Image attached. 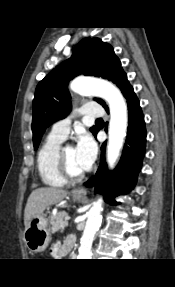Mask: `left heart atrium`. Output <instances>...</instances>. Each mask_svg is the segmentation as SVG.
<instances>
[{
	"mask_svg": "<svg viewBox=\"0 0 175 287\" xmlns=\"http://www.w3.org/2000/svg\"><path fill=\"white\" fill-rule=\"evenodd\" d=\"M74 149L80 166L84 171L88 170L97 155V146L93 138L87 133H81Z\"/></svg>",
	"mask_w": 175,
	"mask_h": 287,
	"instance_id": "obj_1",
	"label": "left heart atrium"
}]
</instances>
